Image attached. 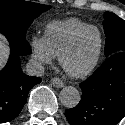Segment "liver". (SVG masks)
<instances>
[{
	"label": "liver",
	"mask_w": 125,
	"mask_h": 125,
	"mask_svg": "<svg viewBox=\"0 0 125 125\" xmlns=\"http://www.w3.org/2000/svg\"><path fill=\"white\" fill-rule=\"evenodd\" d=\"M9 54V48L3 35L0 34V69L4 66Z\"/></svg>",
	"instance_id": "liver-1"
}]
</instances>
